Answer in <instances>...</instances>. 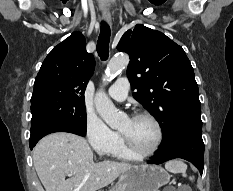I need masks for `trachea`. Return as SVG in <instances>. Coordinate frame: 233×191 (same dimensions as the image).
I'll return each mask as SVG.
<instances>
[{"label": "trachea", "mask_w": 233, "mask_h": 191, "mask_svg": "<svg viewBox=\"0 0 233 191\" xmlns=\"http://www.w3.org/2000/svg\"><path fill=\"white\" fill-rule=\"evenodd\" d=\"M109 40L110 27L105 21H103L101 23V31L97 41V53L103 61H106L109 57Z\"/></svg>", "instance_id": "3493384b"}]
</instances>
